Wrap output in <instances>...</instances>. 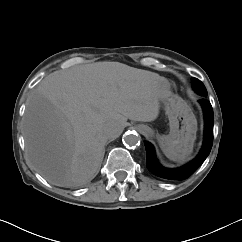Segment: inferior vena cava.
Returning <instances> with one entry per match:
<instances>
[{"label": "inferior vena cava", "instance_id": "obj_1", "mask_svg": "<svg viewBox=\"0 0 242 242\" xmlns=\"http://www.w3.org/2000/svg\"><path fill=\"white\" fill-rule=\"evenodd\" d=\"M122 131V126L118 122H112L108 126V134L112 138H117L120 136Z\"/></svg>", "mask_w": 242, "mask_h": 242}]
</instances>
